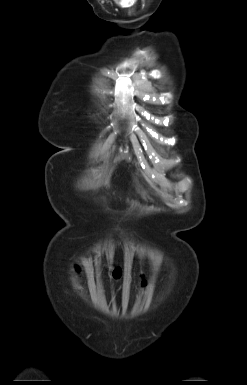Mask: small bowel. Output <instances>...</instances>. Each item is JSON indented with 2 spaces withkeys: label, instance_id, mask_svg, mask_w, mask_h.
<instances>
[{
  "label": "small bowel",
  "instance_id": "obj_1",
  "mask_svg": "<svg viewBox=\"0 0 247 385\" xmlns=\"http://www.w3.org/2000/svg\"><path fill=\"white\" fill-rule=\"evenodd\" d=\"M127 294H128V292H127V290H125V291H124V295H123V300H124V301H125L126 298H127Z\"/></svg>",
  "mask_w": 247,
  "mask_h": 385
}]
</instances>
